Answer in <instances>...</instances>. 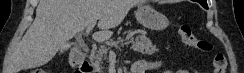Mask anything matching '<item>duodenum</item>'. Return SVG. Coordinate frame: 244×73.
Instances as JSON below:
<instances>
[{"label":"duodenum","mask_w":244,"mask_h":73,"mask_svg":"<svg viewBox=\"0 0 244 73\" xmlns=\"http://www.w3.org/2000/svg\"><path fill=\"white\" fill-rule=\"evenodd\" d=\"M88 49L86 47H76L69 56V63L74 69V73H91V67L85 61Z\"/></svg>","instance_id":"obj_1"}]
</instances>
